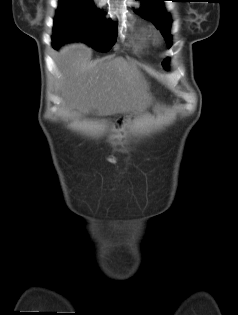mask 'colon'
Instances as JSON below:
<instances>
[{
    "label": "colon",
    "mask_w": 238,
    "mask_h": 315,
    "mask_svg": "<svg viewBox=\"0 0 238 315\" xmlns=\"http://www.w3.org/2000/svg\"><path fill=\"white\" fill-rule=\"evenodd\" d=\"M124 119H120L117 121V126L120 127L123 123Z\"/></svg>",
    "instance_id": "5ec220e1"
}]
</instances>
